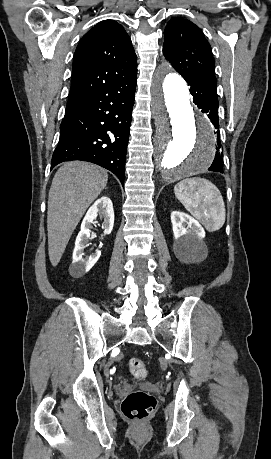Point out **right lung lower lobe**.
Returning a JSON list of instances; mask_svg holds the SVG:
<instances>
[{"label":"right lung lower lobe","mask_w":271,"mask_h":459,"mask_svg":"<svg viewBox=\"0 0 271 459\" xmlns=\"http://www.w3.org/2000/svg\"><path fill=\"white\" fill-rule=\"evenodd\" d=\"M136 75L66 110L51 169L64 161H88L110 170L124 184Z\"/></svg>","instance_id":"right-lung-lower-lobe-1"}]
</instances>
